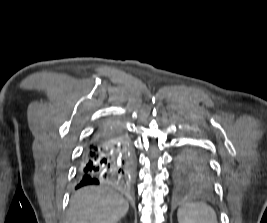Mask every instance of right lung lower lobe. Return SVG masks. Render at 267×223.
<instances>
[{"mask_svg": "<svg viewBox=\"0 0 267 223\" xmlns=\"http://www.w3.org/2000/svg\"><path fill=\"white\" fill-rule=\"evenodd\" d=\"M134 178L135 166L128 136L120 125L103 126L82 154L76 188L108 184L127 192Z\"/></svg>", "mask_w": 267, "mask_h": 223, "instance_id": "1", "label": "right lung lower lobe"}]
</instances>
